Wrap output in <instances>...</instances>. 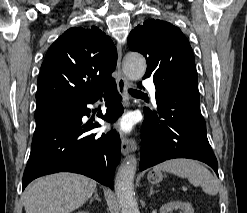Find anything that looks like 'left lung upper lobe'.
I'll list each match as a JSON object with an SVG mask.
<instances>
[{
	"label": "left lung upper lobe",
	"instance_id": "left-lung-upper-lobe-1",
	"mask_svg": "<svg viewBox=\"0 0 247 213\" xmlns=\"http://www.w3.org/2000/svg\"><path fill=\"white\" fill-rule=\"evenodd\" d=\"M128 45L131 51L145 56L147 72L144 78H153L156 96H182L199 102L193 51L179 28L151 19L131 31ZM144 111L151 110L145 108Z\"/></svg>",
	"mask_w": 247,
	"mask_h": 213
}]
</instances>
